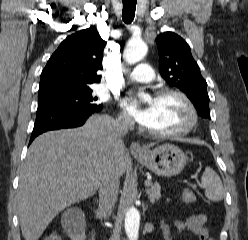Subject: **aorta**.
<instances>
[{
    "label": "aorta",
    "instance_id": "762f6f07",
    "mask_svg": "<svg viewBox=\"0 0 248 240\" xmlns=\"http://www.w3.org/2000/svg\"><path fill=\"white\" fill-rule=\"evenodd\" d=\"M148 51L147 45L141 40L130 41L125 50L124 58L127 63L134 64L144 58ZM145 98L146 95H141ZM139 225H140V214L135 207L128 209L125 215V231L129 240H138L139 236Z\"/></svg>",
    "mask_w": 248,
    "mask_h": 240
}]
</instances>
